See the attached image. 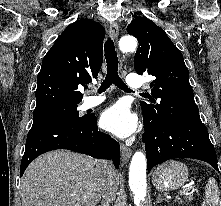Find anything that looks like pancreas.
I'll list each match as a JSON object with an SVG mask.
<instances>
[{"label":"pancreas","mask_w":221,"mask_h":206,"mask_svg":"<svg viewBox=\"0 0 221 206\" xmlns=\"http://www.w3.org/2000/svg\"><path fill=\"white\" fill-rule=\"evenodd\" d=\"M193 199V195L185 194L183 198L177 197V201L179 203L189 202Z\"/></svg>","instance_id":"obj_1"}]
</instances>
